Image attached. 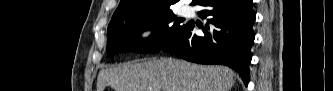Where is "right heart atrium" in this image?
<instances>
[{
	"label": "right heart atrium",
	"instance_id": "d8ad5b80",
	"mask_svg": "<svg viewBox=\"0 0 333 91\" xmlns=\"http://www.w3.org/2000/svg\"><path fill=\"white\" fill-rule=\"evenodd\" d=\"M138 36L142 43L154 44L160 38V28L156 24H144L139 28Z\"/></svg>",
	"mask_w": 333,
	"mask_h": 91
}]
</instances>
